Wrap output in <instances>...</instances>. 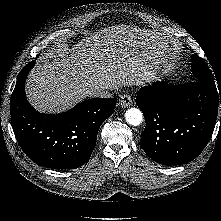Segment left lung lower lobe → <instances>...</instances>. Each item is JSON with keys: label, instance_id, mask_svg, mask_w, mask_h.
Masks as SVG:
<instances>
[{"label": "left lung lower lobe", "instance_id": "1", "mask_svg": "<svg viewBox=\"0 0 221 221\" xmlns=\"http://www.w3.org/2000/svg\"><path fill=\"white\" fill-rule=\"evenodd\" d=\"M219 103L221 87L202 80L177 86L155 82L142 87L136 98L146 122L141 148L159 164L192 161L212 136Z\"/></svg>", "mask_w": 221, "mask_h": 221}]
</instances>
